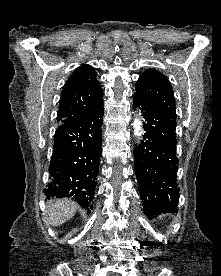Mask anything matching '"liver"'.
Instances as JSON below:
<instances>
[{
	"label": "liver",
	"mask_w": 221,
	"mask_h": 276,
	"mask_svg": "<svg viewBox=\"0 0 221 276\" xmlns=\"http://www.w3.org/2000/svg\"><path fill=\"white\" fill-rule=\"evenodd\" d=\"M77 208V203L70 199L51 200L46 209L47 221L53 227L60 226L74 216Z\"/></svg>",
	"instance_id": "1"
}]
</instances>
